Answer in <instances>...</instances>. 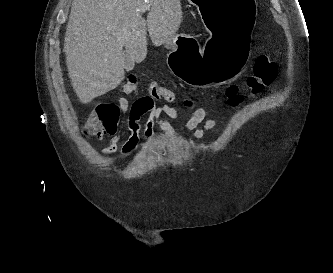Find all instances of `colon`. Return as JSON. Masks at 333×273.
Returning <instances> with one entry per match:
<instances>
[{
  "instance_id": "5ec220e1",
  "label": "colon",
  "mask_w": 333,
  "mask_h": 273,
  "mask_svg": "<svg viewBox=\"0 0 333 273\" xmlns=\"http://www.w3.org/2000/svg\"><path fill=\"white\" fill-rule=\"evenodd\" d=\"M276 75V64L268 56H259L254 64L252 75L246 80V86L252 93H259L264 86L270 84ZM122 92L126 95L137 92V77L130 74L122 85ZM149 96L153 100H164L168 103L178 101V95L165 86L157 82L148 85ZM227 102L231 106L239 105L243 98L240 94V87L230 85L225 90ZM191 101L186 100L185 105H190ZM119 121V108L112 103H100L89 114L84 132L89 136H102L106 133H113L117 129Z\"/></svg>"
}]
</instances>
